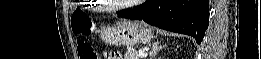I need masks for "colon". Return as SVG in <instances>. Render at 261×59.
<instances>
[{"label": "colon", "instance_id": "obj_1", "mask_svg": "<svg viewBox=\"0 0 261 59\" xmlns=\"http://www.w3.org/2000/svg\"><path fill=\"white\" fill-rule=\"evenodd\" d=\"M71 28L75 35L89 37L95 33L96 25L94 21L80 12H75L71 17ZM78 54L81 59H98V53L91 44L85 40L78 41ZM106 58H115L112 53H107Z\"/></svg>", "mask_w": 261, "mask_h": 59}]
</instances>
